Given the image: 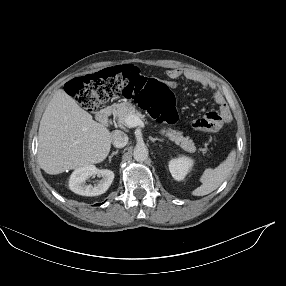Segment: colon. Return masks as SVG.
<instances>
[{
	"label": "colon",
	"mask_w": 286,
	"mask_h": 286,
	"mask_svg": "<svg viewBox=\"0 0 286 286\" xmlns=\"http://www.w3.org/2000/svg\"><path fill=\"white\" fill-rule=\"evenodd\" d=\"M68 92L87 110L95 111L114 97L135 98L159 122L175 123L178 115L168 85L148 78L134 66L107 68L69 82ZM223 122L216 111L197 119L193 127L200 132L218 133Z\"/></svg>",
	"instance_id": "obj_1"
}]
</instances>
